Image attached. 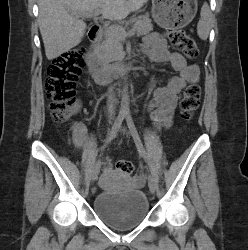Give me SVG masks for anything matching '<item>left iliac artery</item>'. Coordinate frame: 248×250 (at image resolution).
Here are the masks:
<instances>
[{"label":"left iliac artery","instance_id":"44dca946","mask_svg":"<svg viewBox=\"0 0 248 250\" xmlns=\"http://www.w3.org/2000/svg\"><path fill=\"white\" fill-rule=\"evenodd\" d=\"M125 117H126V122H127L128 128L130 130V133H131V135L134 139V142L136 144V147L138 149V152H139L140 156H142L145 159V161L147 162L148 158L146 155V151L144 149V146L142 144V141L140 139V136L137 132V129L135 127V124L133 122V119H132L130 113H126Z\"/></svg>","mask_w":248,"mask_h":250}]
</instances>
